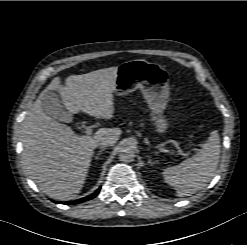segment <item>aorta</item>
Segmentation results:
<instances>
[{
    "mask_svg": "<svg viewBox=\"0 0 247 245\" xmlns=\"http://www.w3.org/2000/svg\"><path fill=\"white\" fill-rule=\"evenodd\" d=\"M119 159L123 162H132L135 159V148L124 144L119 149Z\"/></svg>",
    "mask_w": 247,
    "mask_h": 245,
    "instance_id": "obj_1",
    "label": "aorta"
}]
</instances>
